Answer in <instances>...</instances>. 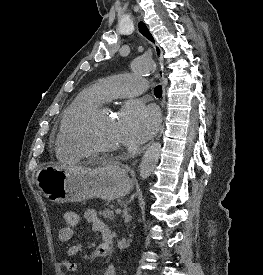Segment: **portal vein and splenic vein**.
Wrapping results in <instances>:
<instances>
[{"label": "portal vein and splenic vein", "mask_w": 263, "mask_h": 275, "mask_svg": "<svg viewBox=\"0 0 263 275\" xmlns=\"http://www.w3.org/2000/svg\"><path fill=\"white\" fill-rule=\"evenodd\" d=\"M115 213H116V214H120V213H121V209H120V208L116 209V210H115Z\"/></svg>", "instance_id": "portal-vein-and-splenic-vein-1"}]
</instances>
